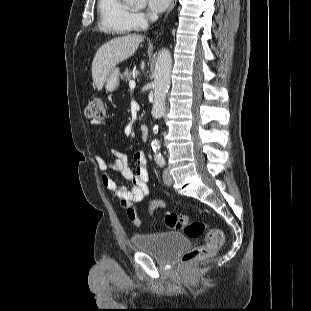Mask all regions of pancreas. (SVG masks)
Masks as SVG:
<instances>
[{
    "instance_id": "obj_1",
    "label": "pancreas",
    "mask_w": 311,
    "mask_h": 311,
    "mask_svg": "<svg viewBox=\"0 0 311 311\" xmlns=\"http://www.w3.org/2000/svg\"><path fill=\"white\" fill-rule=\"evenodd\" d=\"M121 79L124 81H130L133 77V72L130 69H126L121 75H120Z\"/></svg>"
}]
</instances>
